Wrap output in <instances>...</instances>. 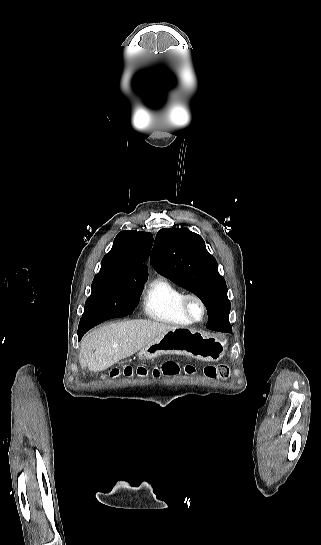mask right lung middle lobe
Here are the masks:
<instances>
[{
    "label": "right lung middle lobe",
    "instance_id": "dd1d6c3e",
    "mask_svg": "<svg viewBox=\"0 0 321 545\" xmlns=\"http://www.w3.org/2000/svg\"><path fill=\"white\" fill-rule=\"evenodd\" d=\"M144 284L122 285L113 283L108 276L96 275L92 282V292L87 299L82 323L92 322L100 317V311L112 299L121 295L140 296Z\"/></svg>",
    "mask_w": 321,
    "mask_h": 545
}]
</instances>
